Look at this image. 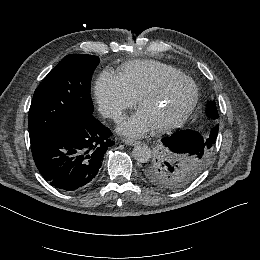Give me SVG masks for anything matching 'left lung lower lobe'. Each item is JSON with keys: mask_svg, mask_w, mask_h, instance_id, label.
Wrapping results in <instances>:
<instances>
[{"mask_svg": "<svg viewBox=\"0 0 260 260\" xmlns=\"http://www.w3.org/2000/svg\"><path fill=\"white\" fill-rule=\"evenodd\" d=\"M218 130L219 124L206 137L195 130H181L164 137L162 143L177 154L199 155L214 146Z\"/></svg>", "mask_w": 260, "mask_h": 260, "instance_id": "1", "label": "left lung lower lobe"}]
</instances>
